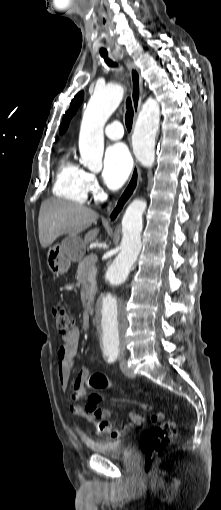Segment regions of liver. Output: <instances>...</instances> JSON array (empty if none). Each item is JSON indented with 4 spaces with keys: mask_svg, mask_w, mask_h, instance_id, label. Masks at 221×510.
<instances>
[{
    "mask_svg": "<svg viewBox=\"0 0 221 510\" xmlns=\"http://www.w3.org/2000/svg\"><path fill=\"white\" fill-rule=\"evenodd\" d=\"M99 217L98 213L86 206L51 198L42 202L38 218L39 241L43 248L50 246L59 236H76ZM99 228L89 230L84 243L93 241Z\"/></svg>",
    "mask_w": 221,
    "mask_h": 510,
    "instance_id": "1",
    "label": "liver"
}]
</instances>
